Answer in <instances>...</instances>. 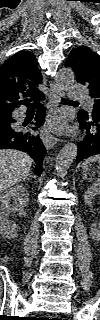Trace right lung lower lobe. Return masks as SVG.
<instances>
[{"mask_svg":"<svg viewBox=\"0 0 100 320\" xmlns=\"http://www.w3.org/2000/svg\"><path fill=\"white\" fill-rule=\"evenodd\" d=\"M44 95H40L37 99H43ZM44 107L40 105L35 115V122H31L35 126L32 130L20 129L12 126L16 120L13 118H7L0 121V148L3 149H17L26 152L37 164L35 174L41 175V166L43 164V158L46 154V149L39 135L33 130H37L44 123Z\"/></svg>","mask_w":100,"mask_h":320,"instance_id":"obj_1","label":"right lung lower lobe"}]
</instances>
